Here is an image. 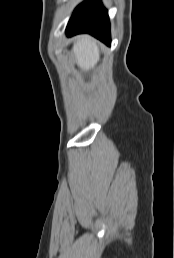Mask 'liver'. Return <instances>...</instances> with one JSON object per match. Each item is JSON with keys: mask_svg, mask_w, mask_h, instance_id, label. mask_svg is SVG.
<instances>
[{"mask_svg": "<svg viewBox=\"0 0 174 258\" xmlns=\"http://www.w3.org/2000/svg\"><path fill=\"white\" fill-rule=\"evenodd\" d=\"M73 53L78 67L86 71L94 68L100 58L97 42L89 35H81L77 38Z\"/></svg>", "mask_w": 174, "mask_h": 258, "instance_id": "1", "label": "liver"}]
</instances>
